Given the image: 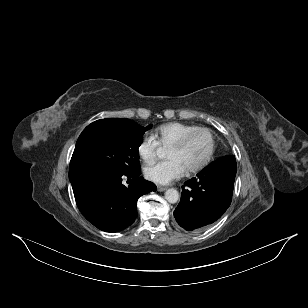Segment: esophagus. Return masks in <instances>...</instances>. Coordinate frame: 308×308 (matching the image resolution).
<instances>
[{
  "label": "esophagus",
  "instance_id": "esophagus-1",
  "mask_svg": "<svg viewBox=\"0 0 308 308\" xmlns=\"http://www.w3.org/2000/svg\"><path fill=\"white\" fill-rule=\"evenodd\" d=\"M157 190H158L159 192H163V191L167 190V187L161 186V185H157Z\"/></svg>",
  "mask_w": 308,
  "mask_h": 308
}]
</instances>
